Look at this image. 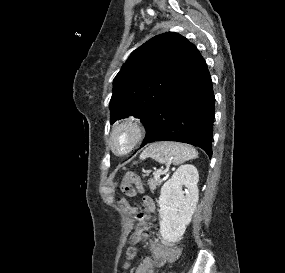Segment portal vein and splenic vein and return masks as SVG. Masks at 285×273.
<instances>
[{
    "label": "portal vein and splenic vein",
    "mask_w": 285,
    "mask_h": 273,
    "mask_svg": "<svg viewBox=\"0 0 285 273\" xmlns=\"http://www.w3.org/2000/svg\"><path fill=\"white\" fill-rule=\"evenodd\" d=\"M161 174H162V171L159 170V171L154 175V178H155V179H159Z\"/></svg>",
    "instance_id": "obj_1"
}]
</instances>
